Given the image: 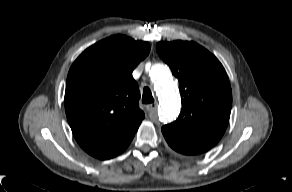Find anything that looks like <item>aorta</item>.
I'll return each instance as SVG.
<instances>
[{"instance_id": "1", "label": "aorta", "mask_w": 292, "mask_h": 192, "mask_svg": "<svg viewBox=\"0 0 292 192\" xmlns=\"http://www.w3.org/2000/svg\"><path fill=\"white\" fill-rule=\"evenodd\" d=\"M150 79L156 87L160 99L159 118L163 122H171L180 112L181 100L178 89L172 81L169 68L157 63L151 67Z\"/></svg>"}]
</instances>
